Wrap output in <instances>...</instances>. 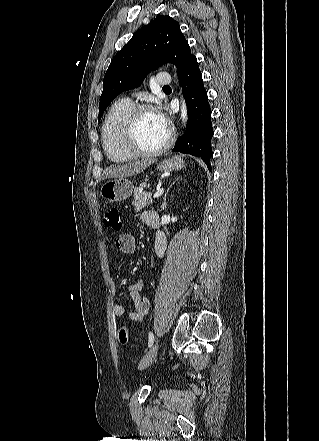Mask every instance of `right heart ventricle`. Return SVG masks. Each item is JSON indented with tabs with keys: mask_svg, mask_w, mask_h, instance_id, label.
Here are the masks:
<instances>
[{
	"mask_svg": "<svg viewBox=\"0 0 319 441\" xmlns=\"http://www.w3.org/2000/svg\"><path fill=\"white\" fill-rule=\"evenodd\" d=\"M134 107L133 101L122 98L115 101L109 108L103 125L102 141L108 158L114 162H124L134 158L122 144V128L124 121Z\"/></svg>",
	"mask_w": 319,
	"mask_h": 441,
	"instance_id": "1",
	"label": "right heart ventricle"
}]
</instances>
